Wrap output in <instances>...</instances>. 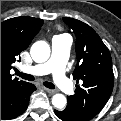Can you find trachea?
Masks as SVG:
<instances>
[{
  "mask_svg": "<svg viewBox=\"0 0 121 121\" xmlns=\"http://www.w3.org/2000/svg\"><path fill=\"white\" fill-rule=\"evenodd\" d=\"M15 73H16V75H18L22 79H25V80H28V81H34L35 80V77L30 75V74L21 73L18 70H16ZM43 85L46 86L47 88L55 89V85L51 82L44 81Z\"/></svg>",
  "mask_w": 121,
  "mask_h": 121,
  "instance_id": "obj_1",
  "label": "trachea"
}]
</instances>
